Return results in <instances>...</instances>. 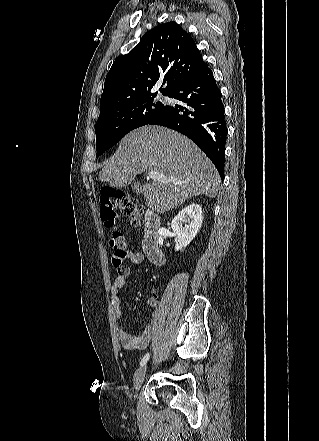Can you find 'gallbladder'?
<instances>
[{
	"label": "gallbladder",
	"mask_w": 319,
	"mask_h": 441,
	"mask_svg": "<svg viewBox=\"0 0 319 441\" xmlns=\"http://www.w3.org/2000/svg\"><path fill=\"white\" fill-rule=\"evenodd\" d=\"M132 189L136 190L137 192H142V186L140 185V183H133Z\"/></svg>",
	"instance_id": "1"
}]
</instances>
